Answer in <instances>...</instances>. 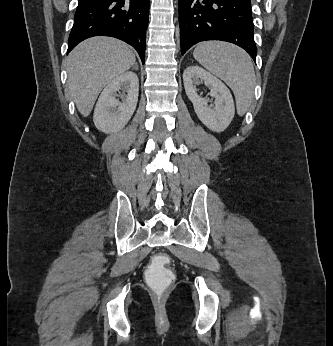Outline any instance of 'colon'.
Here are the masks:
<instances>
[{
	"label": "colon",
	"mask_w": 333,
	"mask_h": 346,
	"mask_svg": "<svg viewBox=\"0 0 333 346\" xmlns=\"http://www.w3.org/2000/svg\"><path fill=\"white\" fill-rule=\"evenodd\" d=\"M149 261L150 264L143 271L144 279L148 282V288H152V294H156L157 299H162L171 286L170 280L175 279V274L167 266L170 259L165 254H158L150 257Z\"/></svg>",
	"instance_id": "1"
}]
</instances>
